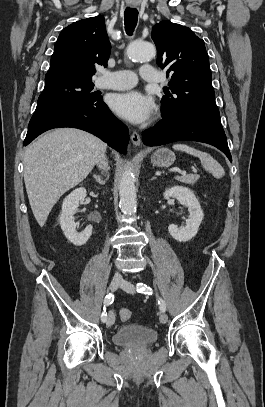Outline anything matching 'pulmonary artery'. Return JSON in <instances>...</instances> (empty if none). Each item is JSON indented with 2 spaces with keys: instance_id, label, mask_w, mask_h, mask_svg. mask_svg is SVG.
Masks as SVG:
<instances>
[{
  "instance_id": "pulmonary-artery-1",
  "label": "pulmonary artery",
  "mask_w": 265,
  "mask_h": 407,
  "mask_svg": "<svg viewBox=\"0 0 265 407\" xmlns=\"http://www.w3.org/2000/svg\"><path fill=\"white\" fill-rule=\"evenodd\" d=\"M140 77L147 82L157 83L160 80L159 73L152 65H144L140 69ZM137 76L130 70H116L101 72L96 86L102 89L125 90L137 84Z\"/></svg>"
}]
</instances>
